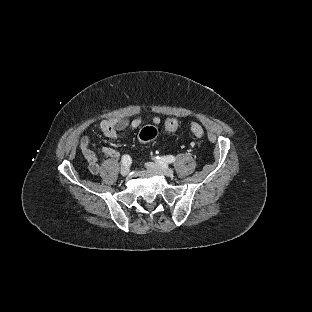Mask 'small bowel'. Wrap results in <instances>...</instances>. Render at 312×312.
I'll return each mask as SVG.
<instances>
[{"label": "small bowel", "instance_id": "c3829d8e", "mask_svg": "<svg viewBox=\"0 0 312 312\" xmlns=\"http://www.w3.org/2000/svg\"><path fill=\"white\" fill-rule=\"evenodd\" d=\"M152 122L154 124H160L161 119L158 116H154ZM141 123L142 120L140 118H135L131 121L126 118H110L102 120L99 123V129L104 136L117 139L121 136L120 132L122 130L126 128L135 130L140 127ZM79 147L88 162L89 171L92 174L97 175L100 172V164L97 155L91 148L89 138L86 136L82 137L79 140ZM102 152L104 155L112 158H117L119 156L117 150L109 146L103 147Z\"/></svg>", "mask_w": 312, "mask_h": 312}]
</instances>
